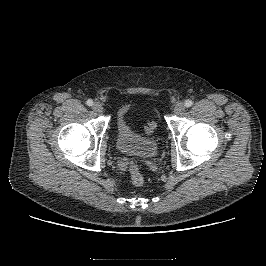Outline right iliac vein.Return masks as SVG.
I'll return each mask as SVG.
<instances>
[{
    "label": "right iliac vein",
    "instance_id": "obj_1",
    "mask_svg": "<svg viewBox=\"0 0 266 266\" xmlns=\"http://www.w3.org/2000/svg\"><path fill=\"white\" fill-rule=\"evenodd\" d=\"M93 110L97 113H101L103 112V106L99 102H96L93 104Z\"/></svg>",
    "mask_w": 266,
    "mask_h": 266
}]
</instances>
